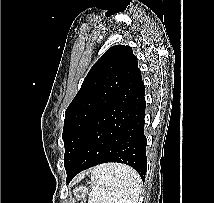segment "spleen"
Listing matches in <instances>:
<instances>
[{"instance_id": "1", "label": "spleen", "mask_w": 214, "mask_h": 203, "mask_svg": "<svg viewBox=\"0 0 214 203\" xmlns=\"http://www.w3.org/2000/svg\"><path fill=\"white\" fill-rule=\"evenodd\" d=\"M88 203H138L141 178L129 166L102 164L92 170Z\"/></svg>"}]
</instances>
